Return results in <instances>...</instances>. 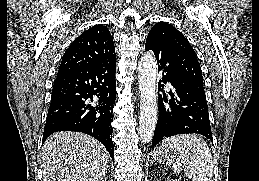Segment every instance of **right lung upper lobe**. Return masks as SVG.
Segmentation results:
<instances>
[{"instance_id": "cb5924a9", "label": "right lung upper lobe", "mask_w": 259, "mask_h": 181, "mask_svg": "<svg viewBox=\"0 0 259 181\" xmlns=\"http://www.w3.org/2000/svg\"><path fill=\"white\" fill-rule=\"evenodd\" d=\"M115 58L110 31L99 24L77 37L63 55L57 75L99 65Z\"/></svg>"}]
</instances>
